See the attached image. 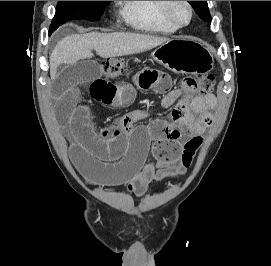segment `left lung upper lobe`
I'll list each match as a JSON object with an SVG mask.
<instances>
[{
	"instance_id": "5c2ea615",
	"label": "left lung upper lobe",
	"mask_w": 271,
	"mask_h": 266,
	"mask_svg": "<svg viewBox=\"0 0 271 266\" xmlns=\"http://www.w3.org/2000/svg\"><path fill=\"white\" fill-rule=\"evenodd\" d=\"M195 12L199 15L204 21L211 23V16L208 10L207 1H188Z\"/></svg>"
}]
</instances>
